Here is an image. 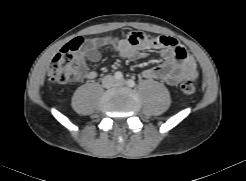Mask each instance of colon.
<instances>
[{"mask_svg":"<svg viewBox=\"0 0 246 181\" xmlns=\"http://www.w3.org/2000/svg\"><path fill=\"white\" fill-rule=\"evenodd\" d=\"M158 38L136 32L131 35L130 40L133 44H148L156 41ZM82 44L83 38L77 37L53 57L48 67V79L51 82L64 84L72 80H78L83 76V61L75 54ZM180 88L186 96H192L196 92V87L192 80L183 81Z\"/></svg>","mask_w":246,"mask_h":181,"instance_id":"1","label":"colon"}]
</instances>
